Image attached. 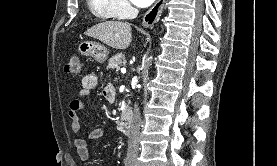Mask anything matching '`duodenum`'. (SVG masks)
Wrapping results in <instances>:
<instances>
[{"label":"duodenum","mask_w":277,"mask_h":166,"mask_svg":"<svg viewBox=\"0 0 277 166\" xmlns=\"http://www.w3.org/2000/svg\"><path fill=\"white\" fill-rule=\"evenodd\" d=\"M131 122V111L128 108H126L119 120L118 129L123 133H129L131 130Z\"/></svg>","instance_id":"410a0bca"}]
</instances>
